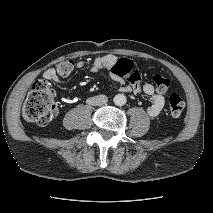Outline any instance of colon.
Listing matches in <instances>:
<instances>
[{"label": "colon", "mask_w": 213, "mask_h": 213, "mask_svg": "<svg viewBox=\"0 0 213 213\" xmlns=\"http://www.w3.org/2000/svg\"><path fill=\"white\" fill-rule=\"evenodd\" d=\"M74 62L66 60L55 65L56 71L61 76L70 74ZM134 65L128 59H120L112 68V73L118 77L126 78L133 72ZM153 82L159 93H164L170 86V81L159 72L152 75ZM169 110L173 116H179L185 107L184 100L178 94L169 97ZM58 114V107L55 102L54 90L44 80H37L31 86L22 108V116L26 122L38 125L52 123Z\"/></svg>", "instance_id": "obj_1"}]
</instances>
